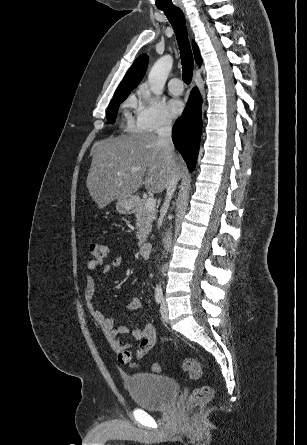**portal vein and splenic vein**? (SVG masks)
<instances>
[{
	"label": "portal vein and splenic vein",
	"instance_id": "portal-vein-and-splenic-vein-1",
	"mask_svg": "<svg viewBox=\"0 0 307 445\" xmlns=\"http://www.w3.org/2000/svg\"><path fill=\"white\" fill-rule=\"evenodd\" d=\"M138 170H140V166H132V168H130V172H138ZM116 174H123V172H116ZM155 204L156 200L153 198V196L146 198L145 206H148V208H154Z\"/></svg>",
	"mask_w": 307,
	"mask_h": 445
}]
</instances>
